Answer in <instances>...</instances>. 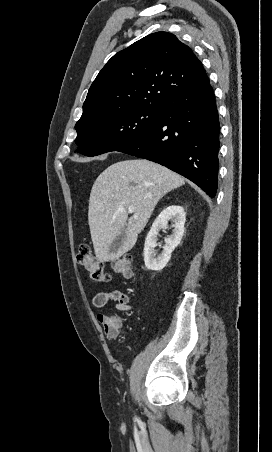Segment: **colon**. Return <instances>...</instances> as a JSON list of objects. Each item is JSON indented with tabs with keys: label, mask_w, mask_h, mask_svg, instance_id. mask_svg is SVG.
Returning a JSON list of instances; mask_svg holds the SVG:
<instances>
[{
	"label": "colon",
	"mask_w": 272,
	"mask_h": 452,
	"mask_svg": "<svg viewBox=\"0 0 272 452\" xmlns=\"http://www.w3.org/2000/svg\"><path fill=\"white\" fill-rule=\"evenodd\" d=\"M77 262L88 272L92 281L97 283L110 281V275L106 272L104 265L96 259L88 244L79 246ZM112 268L116 273L127 279L133 275V262L130 256H123L115 260Z\"/></svg>",
	"instance_id": "5ec220e1"
}]
</instances>
